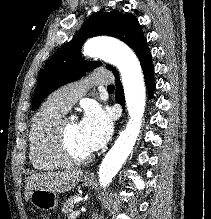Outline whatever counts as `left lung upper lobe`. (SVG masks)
Listing matches in <instances>:
<instances>
[{
	"instance_id": "5c2ea615",
	"label": "left lung upper lobe",
	"mask_w": 211,
	"mask_h": 219,
	"mask_svg": "<svg viewBox=\"0 0 211 219\" xmlns=\"http://www.w3.org/2000/svg\"><path fill=\"white\" fill-rule=\"evenodd\" d=\"M99 35L118 38L134 51L145 39L138 20L132 14H122L118 10L93 14L75 37L53 54L46 64L34 92L32 110L55 89L80 79L87 70L102 65L99 61L84 62L81 57L83 43L88 38ZM106 68L116 71L110 65H106Z\"/></svg>"
}]
</instances>
